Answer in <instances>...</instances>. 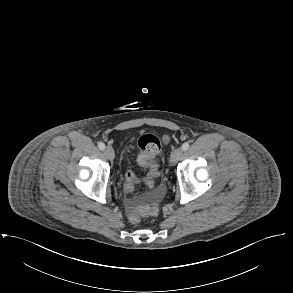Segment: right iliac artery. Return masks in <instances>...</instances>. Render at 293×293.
I'll return each mask as SVG.
<instances>
[{
    "label": "right iliac artery",
    "instance_id": "1",
    "mask_svg": "<svg viewBox=\"0 0 293 293\" xmlns=\"http://www.w3.org/2000/svg\"><path fill=\"white\" fill-rule=\"evenodd\" d=\"M98 147H99L100 150H104L105 149V144L103 142H99Z\"/></svg>",
    "mask_w": 293,
    "mask_h": 293
}]
</instances>
